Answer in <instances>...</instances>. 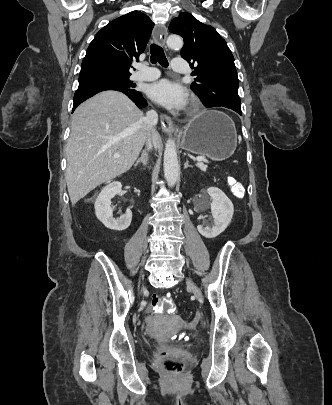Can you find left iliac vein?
Segmentation results:
<instances>
[{
    "label": "left iliac vein",
    "mask_w": 332,
    "mask_h": 405,
    "mask_svg": "<svg viewBox=\"0 0 332 405\" xmlns=\"http://www.w3.org/2000/svg\"><path fill=\"white\" fill-rule=\"evenodd\" d=\"M186 284L193 291V293L196 295V297L198 299L203 298L201 290L196 286V284L190 278L186 279Z\"/></svg>",
    "instance_id": "left-iliac-vein-1"
}]
</instances>
